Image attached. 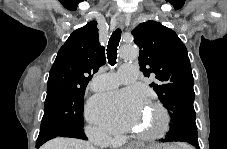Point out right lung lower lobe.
Masks as SVG:
<instances>
[{"mask_svg":"<svg viewBox=\"0 0 227 149\" xmlns=\"http://www.w3.org/2000/svg\"><path fill=\"white\" fill-rule=\"evenodd\" d=\"M57 136L72 137V138H79V139H85V140L87 139L84 134L83 127L81 128L71 127V128H65L62 130H56L53 128L43 129V130H40L38 139L36 141V147L39 148L42 144Z\"/></svg>","mask_w":227,"mask_h":149,"instance_id":"98d812e1","label":"right lung lower lobe"}]
</instances>
